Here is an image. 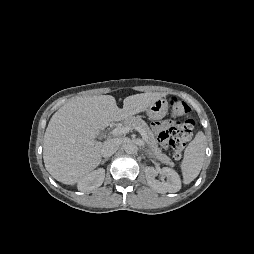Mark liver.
<instances>
[{
  "instance_id": "1",
  "label": "liver",
  "mask_w": 254,
  "mask_h": 254,
  "mask_svg": "<svg viewBox=\"0 0 254 254\" xmlns=\"http://www.w3.org/2000/svg\"><path fill=\"white\" fill-rule=\"evenodd\" d=\"M164 95L151 92L131 95L124 99L122 109L111 95L68 101L46 128L43 144L46 170L63 184L78 183L101 162L103 143L96 141L97 131L145 111Z\"/></svg>"
}]
</instances>
